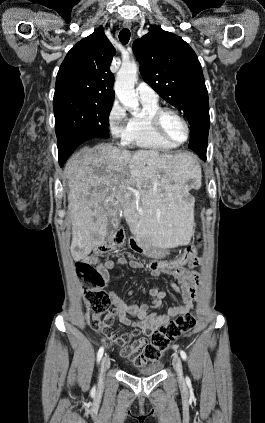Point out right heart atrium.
<instances>
[{
    "instance_id": "right-heart-atrium-1",
    "label": "right heart atrium",
    "mask_w": 265,
    "mask_h": 423,
    "mask_svg": "<svg viewBox=\"0 0 265 423\" xmlns=\"http://www.w3.org/2000/svg\"><path fill=\"white\" fill-rule=\"evenodd\" d=\"M126 121V110L118 101L115 100L107 114V123L113 138H123Z\"/></svg>"
}]
</instances>
